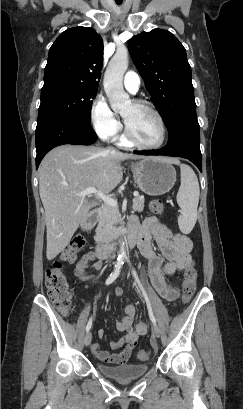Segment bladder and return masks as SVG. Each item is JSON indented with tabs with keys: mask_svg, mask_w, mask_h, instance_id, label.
I'll list each match as a JSON object with an SVG mask.
<instances>
[{
	"mask_svg": "<svg viewBox=\"0 0 243 409\" xmlns=\"http://www.w3.org/2000/svg\"><path fill=\"white\" fill-rule=\"evenodd\" d=\"M97 371L106 377L118 380L129 381L143 377L149 369L148 364L127 363L117 366H108L97 362L95 364Z\"/></svg>",
	"mask_w": 243,
	"mask_h": 409,
	"instance_id": "31cf9c89",
	"label": "bladder"
}]
</instances>
